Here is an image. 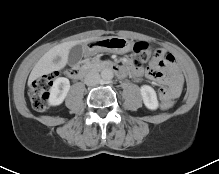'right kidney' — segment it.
<instances>
[{
  "mask_svg": "<svg viewBox=\"0 0 219 174\" xmlns=\"http://www.w3.org/2000/svg\"><path fill=\"white\" fill-rule=\"evenodd\" d=\"M69 89L70 82L67 78H57L50 89L49 104L52 106L60 105L66 98Z\"/></svg>",
  "mask_w": 219,
  "mask_h": 174,
  "instance_id": "right-kidney-1",
  "label": "right kidney"
}]
</instances>
